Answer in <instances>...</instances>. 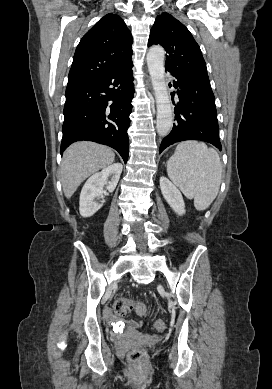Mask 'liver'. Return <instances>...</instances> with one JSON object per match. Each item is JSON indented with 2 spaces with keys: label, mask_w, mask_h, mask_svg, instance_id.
Returning <instances> with one entry per match:
<instances>
[{
  "label": "liver",
  "mask_w": 272,
  "mask_h": 389,
  "mask_svg": "<svg viewBox=\"0 0 272 389\" xmlns=\"http://www.w3.org/2000/svg\"><path fill=\"white\" fill-rule=\"evenodd\" d=\"M114 152L104 145L82 141L72 144L64 153L60 168L61 182L66 198L90 175L114 162Z\"/></svg>",
  "instance_id": "liver-1"
}]
</instances>
